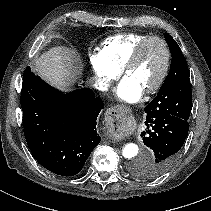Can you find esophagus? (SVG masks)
<instances>
[{
    "mask_svg": "<svg viewBox=\"0 0 211 211\" xmlns=\"http://www.w3.org/2000/svg\"><path fill=\"white\" fill-rule=\"evenodd\" d=\"M124 109H125L124 106H114V107L109 108V111H110L111 113H112V112H114V113H119V112L123 111ZM108 137L111 138V139H113V140H118L117 137L112 136L111 134H108Z\"/></svg>",
    "mask_w": 211,
    "mask_h": 211,
    "instance_id": "1",
    "label": "esophagus"
}]
</instances>
